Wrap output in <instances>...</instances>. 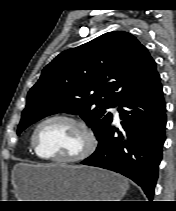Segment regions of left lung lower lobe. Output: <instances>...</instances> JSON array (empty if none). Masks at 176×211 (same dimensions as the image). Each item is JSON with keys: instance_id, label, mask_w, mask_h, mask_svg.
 Returning <instances> with one entry per match:
<instances>
[{"instance_id": "1", "label": "left lung lower lobe", "mask_w": 176, "mask_h": 211, "mask_svg": "<svg viewBox=\"0 0 176 211\" xmlns=\"http://www.w3.org/2000/svg\"><path fill=\"white\" fill-rule=\"evenodd\" d=\"M119 104L122 131L112 125V117L96 151L81 163L121 173L141 186L152 200L166 126L160 77Z\"/></svg>"}]
</instances>
